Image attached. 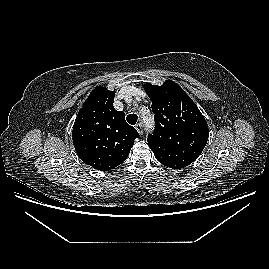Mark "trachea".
<instances>
[{"instance_id": "1", "label": "trachea", "mask_w": 269, "mask_h": 269, "mask_svg": "<svg viewBox=\"0 0 269 269\" xmlns=\"http://www.w3.org/2000/svg\"><path fill=\"white\" fill-rule=\"evenodd\" d=\"M126 120L129 124L131 125H135L137 120H138V116L136 114H129L127 117H126Z\"/></svg>"}]
</instances>
